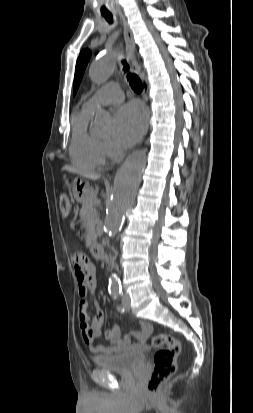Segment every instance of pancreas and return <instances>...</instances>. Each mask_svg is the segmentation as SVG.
Wrapping results in <instances>:
<instances>
[{
    "label": "pancreas",
    "mask_w": 253,
    "mask_h": 413,
    "mask_svg": "<svg viewBox=\"0 0 253 413\" xmlns=\"http://www.w3.org/2000/svg\"><path fill=\"white\" fill-rule=\"evenodd\" d=\"M81 217L84 220V227L86 229L85 241L86 246L91 247L95 244L97 234L95 231V225L98 222L99 216L97 209L95 208V196L90 195L82 205Z\"/></svg>",
    "instance_id": "pancreas-1"
}]
</instances>
